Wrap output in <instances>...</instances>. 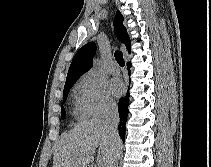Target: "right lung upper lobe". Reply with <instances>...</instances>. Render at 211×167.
<instances>
[{
    "instance_id": "1",
    "label": "right lung upper lobe",
    "mask_w": 211,
    "mask_h": 167,
    "mask_svg": "<svg viewBox=\"0 0 211 167\" xmlns=\"http://www.w3.org/2000/svg\"><path fill=\"white\" fill-rule=\"evenodd\" d=\"M115 32L118 35V38L124 42L129 53L130 49V39L127 34L126 28L123 25V16L118 10L116 12L114 20ZM96 52V45L93 42H89L84 45L74 56L70 68L68 70L66 82L71 80H77L83 73L90 70L92 67L93 56Z\"/></svg>"
}]
</instances>
